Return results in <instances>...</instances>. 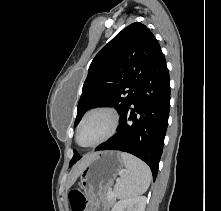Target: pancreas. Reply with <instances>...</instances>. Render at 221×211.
<instances>
[{
	"label": "pancreas",
	"instance_id": "1",
	"mask_svg": "<svg viewBox=\"0 0 221 211\" xmlns=\"http://www.w3.org/2000/svg\"><path fill=\"white\" fill-rule=\"evenodd\" d=\"M108 190H107V193H108ZM114 202H115V198L114 197H111V198L107 197V203H108L109 206H112L114 204Z\"/></svg>",
	"mask_w": 221,
	"mask_h": 211
}]
</instances>
